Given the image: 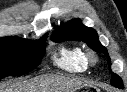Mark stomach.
Here are the masks:
<instances>
[{
    "instance_id": "0dacf381",
    "label": "stomach",
    "mask_w": 127,
    "mask_h": 92,
    "mask_svg": "<svg viewBox=\"0 0 127 92\" xmlns=\"http://www.w3.org/2000/svg\"><path fill=\"white\" fill-rule=\"evenodd\" d=\"M77 92H89V89L84 87V86H82V87L78 88Z\"/></svg>"
}]
</instances>
